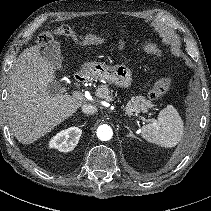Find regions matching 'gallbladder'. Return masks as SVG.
Masks as SVG:
<instances>
[{"instance_id":"gallbladder-1","label":"gallbladder","mask_w":211,"mask_h":211,"mask_svg":"<svg viewBox=\"0 0 211 211\" xmlns=\"http://www.w3.org/2000/svg\"><path fill=\"white\" fill-rule=\"evenodd\" d=\"M43 58L56 70L62 67L60 43L53 41L43 50Z\"/></svg>"}]
</instances>
